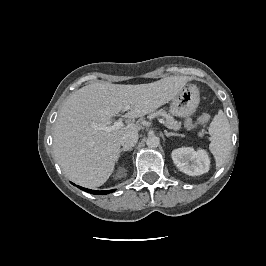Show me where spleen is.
I'll use <instances>...</instances> for the list:
<instances>
[{"mask_svg":"<svg viewBox=\"0 0 266 266\" xmlns=\"http://www.w3.org/2000/svg\"><path fill=\"white\" fill-rule=\"evenodd\" d=\"M209 134L212 141L209 145L211 153L214 155L216 167L223 165L231 148V131L229 121L223 111H219L210 123Z\"/></svg>","mask_w":266,"mask_h":266,"instance_id":"1","label":"spleen"}]
</instances>
